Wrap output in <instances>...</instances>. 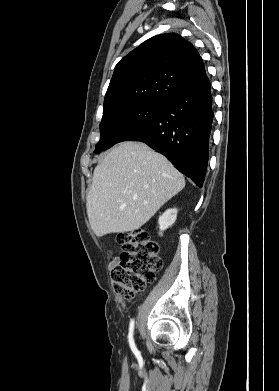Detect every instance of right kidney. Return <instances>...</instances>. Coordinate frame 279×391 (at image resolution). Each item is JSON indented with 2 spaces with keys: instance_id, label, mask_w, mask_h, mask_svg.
I'll use <instances>...</instances> for the list:
<instances>
[{
  "instance_id": "right-kidney-1",
  "label": "right kidney",
  "mask_w": 279,
  "mask_h": 391,
  "mask_svg": "<svg viewBox=\"0 0 279 391\" xmlns=\"http://www.w3.org/2000/svg\"><path fill=\"white\" fill-rule=\"evenodd\" d=\"M177 212L178 210L176 208L168 209L159 217L158 224L160 229V235H162V232L164 230L174 224L177 219Z\"/></svg>"
}]
</instances>
